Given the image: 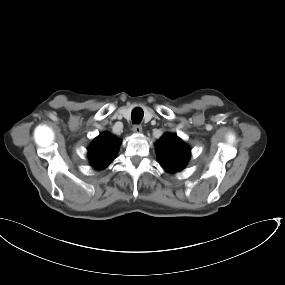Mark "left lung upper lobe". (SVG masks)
<instances>
[{"instance_id":"1","label":"left lung upper lobe","mask_w":285,"mask_h":285,"mask_svg":"<svg viewBox=\"0 0 285 285\" xmlns=\"http://www.w3.org/2000/svg\"><path fill=\"white\" fill-rule=\"evenodd\" d=\"M159 164L170 173L181 171L190 158V148L178 137L167 133L157 141Z\"/></svg>"}]
</instances>
